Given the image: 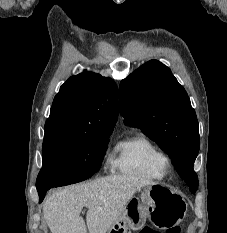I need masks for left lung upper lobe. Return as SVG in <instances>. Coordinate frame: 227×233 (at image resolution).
Wrapping results in <instances>:
<instances>
[{"instance_id": "1", "label": "left lung upper lobe", "mask_w": 227, "mask_h": 233, "mask_svg": "<svg viewBox=\"0 0 227 233\" xmlns=\"http://www.w3.org/2000/svg\"><path fill=\"white\" fill-rule=\"evenodd\" d=\"M120 113L125 124L140 128L172 159L192 193L200 148L198 121L190 99L171 70L157 60L139 67L120 83Z\"/></svg>"}]
</instances>
